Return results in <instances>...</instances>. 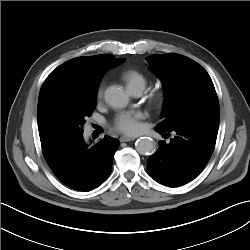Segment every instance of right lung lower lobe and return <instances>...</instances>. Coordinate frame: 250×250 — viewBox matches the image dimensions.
Segmentation results:
<instances>
[{
	"instance_id": "obj_1",
	"label": "right lung lower lobe",
	"mask_w": 250,
	"mask_h": 250,
	"mask_svg": "<svg viewBox=\"0 0 250 250\" xmlns=\"http://www.w3.org/2000/svg\"><path fill=\"white\" fill-rule=\"evenodd\" d=\"M41 146L44 158L56 177L74 190L87 192L110 176L119 142L105 136L90 146L85 143L82 133L41 141Z\"/></svg>"
}]
</instances>
